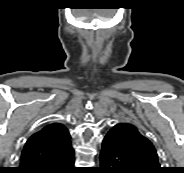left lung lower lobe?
I'll return each mask as SVG.
<instances>
[{
  "label": "left lung lower lobe",
  "mask_w": 184,
  "mask_h": 173,
  "mask_svg": "<svg viewBox=\"0 0 184 173\" xmlns=\"http://www.w3.org/2000/svg\"><path fill=\"white\" fill-rule=\"evenodd\" d=\"M99 173H138L128 159L114 146L111 137L105 136L100 153Z\"/></svg>",
  "instance_id": "obj_1"
}]
</instances>
